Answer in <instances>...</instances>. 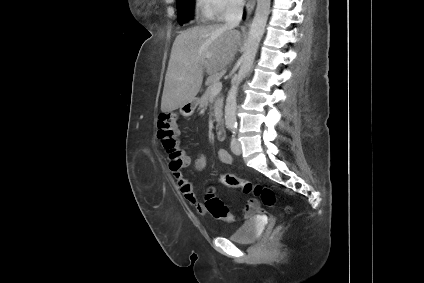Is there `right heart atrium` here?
Returning a JSON list of instances; mask_svg holds the SVG:
<instances>
[{"instance_id": "right-heart-atrium-1", "label": "right heart atrium", "mask_w": 424, "mask_h": 283, "mask_svg": "<svg viewBox=\"0 0 424 283\" xmlns=\"http://www.w3.org/2000/svg\"><path fill=\"white\" fill-rule=\"evenodd\" d=\"M200 14L209 19H222L236 12L241 0H196Z\"/></svg>"}]
</instances>
